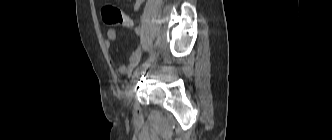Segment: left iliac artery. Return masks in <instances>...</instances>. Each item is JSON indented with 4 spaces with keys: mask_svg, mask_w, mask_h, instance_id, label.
<instances>
[{
    "mask_svg": "<svg viewBox=\"0 0 332 140\" xmlns=\"http://www.w3.org/2000/svg\"><path fill=\"white\" fill-rule=\"evenodd\" d=\"M155 58V52L153 51L152 53H151V55L149 56V58L141 65V66H139L137 69H136V71H135V73H137L139 70H141V69H143V68H146L148 65H149V63L153 60ZM134 73V74H135Z\"/></svg>",
    "mask_w": 332,
    "mask_h": 140,
    "instance_id": "44dca946",
    "label": "left iliac artery"
}]
</instances>
